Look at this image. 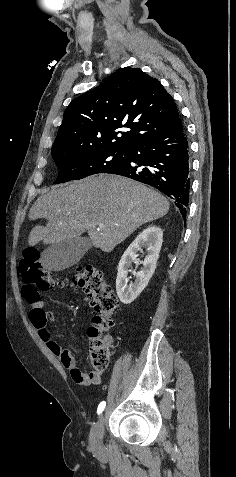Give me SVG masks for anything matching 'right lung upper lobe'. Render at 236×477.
Here are the masks:
<instances>
[{
	"label": "right lung upper lobe",
	"instance_id": "cb5924a9",
	"mask_svg": "<svg viewBox=\"0 0 236 477\" xmlns=\"http://www.w3.org/2000/svg\"><path fill=\"white\" fill-rule=\"evenodd\" d=\"M177 119L176 104L157 79L138 68H121L69 104L52 156L89 148L125 152L133 143L168 130ZM118 128L124 131L114 132Z\"/></svg>",
	"mask_w": 236,
	"mask_h": 477
}]
</instances>
